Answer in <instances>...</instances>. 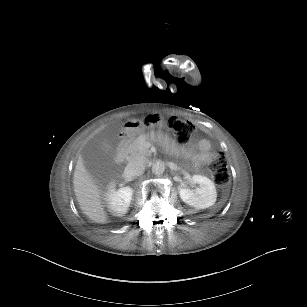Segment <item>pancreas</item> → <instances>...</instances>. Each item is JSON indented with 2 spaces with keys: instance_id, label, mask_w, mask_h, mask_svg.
Segmentation results:
<instances>
[{
  "instance_id": "1",
  "label": "pancreas",
  "mask_w": 307,
  "mask_h": 307,
  "mask_svg": "<svg viewBox=\"0 0 307 307\" xmlns=\"http://www.w3.org/2000/svg\"><path fill=\"white\" fill-rule=\"evenodd\" d=\"M146 144V136L144 134L138 136L132 143V146L136 147V150L133 153L141 152L146 153L147 149L145 147Z\"/></svg>"
}]
</instances>
